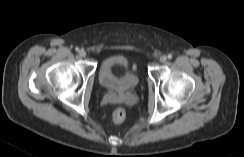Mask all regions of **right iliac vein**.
I'll list each match as a JSON object with an SVG mask.
<instances>
[{
  "label": "right iliac vein",
  "mask_w": 244,
  "mask_h": 157,
  "mask_svg": "<svg viewBox=\"0 0 244 157\" xmlns=\"http://www.w3.org/2000/svg\"><path fill=\"white\" fill-rule=\"evenodd\" d=\"M79 55H80L81 57H85V56H86V52H85L84 50H80V51H79Z\"/></svg>",
  "instance_id": "63e3f726"
}]
</instances>
